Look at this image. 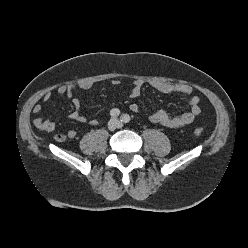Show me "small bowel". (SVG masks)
<instances>
[{"label":"small bowel","instance_id":"1","mask_svg":"<svg viewBox=\"0 0 248 248\" xmlns=\"http://www.w3.org/2000/svg\"><path fill=\"white\" fill-rule=\"evenodd\" d=\"M120 81L118 79L112 80L113 85H118ZM149 85L155 90L162 93H176L181 94L188 98V103L190 105V110L180 116H172L168 114L164 110H157L149 115V120L155 124H159L161 126L167 128H182L190 125L201 113L200 107V98L197 95H193L192 88L185 84L178 83H169L163 81H151ZM93 86V82H82L77 85L70 86H59L56 89L57 94L66 95L72 102L74 106V110L70 114V119L80 122L86 123L89 122L91 125L95 126L98 124L96 119L88 120L87 117L81 111V100L75 96V92L77 90H88ZM144 86V81L135 80L133 86L130 90V97L137 98L141 95L142 88ZM52 94L47 92L43 95L42 99L44 102L50 101ZM130 110L134 113H138L140 111V107L138 104L133 103L130 105ZM33 112L36 114V118L34 119V126L40 131L52 132L56 128V124L48 119L44 118L41 115L42 105L37 103L33 107ZM77 135V132L73 129L69 130L66 135L58 133L54 136L56 141H64L66 138L73 139Z\"/></svg>","mask_w":248,"mask_h":248}]
</instances>
